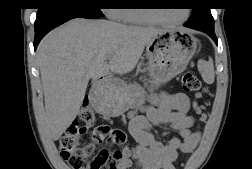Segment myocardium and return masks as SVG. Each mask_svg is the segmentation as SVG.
I'll return each instance as SVG.
<instances>
[{"mask_svg": "<svg viewBox=\"0 0 252 169\" xmlns=\"http://www.w3.org/2000/svg\"><path fill=\"white\" fill-rule=\"evenodd\" d=\"M139 13L149 22L151 23H160V24H180L185 22L188 17H189V12L188 10H186V12L184 13V16L179 19V20H165V19H161L158 18L154 15H152L151 13L145 11V10H139Z\"/></svg>", "mask_w": 252, "mask_h": 169, "instance_id": "obj_1", "label": "myocardium"}]
</instances>
